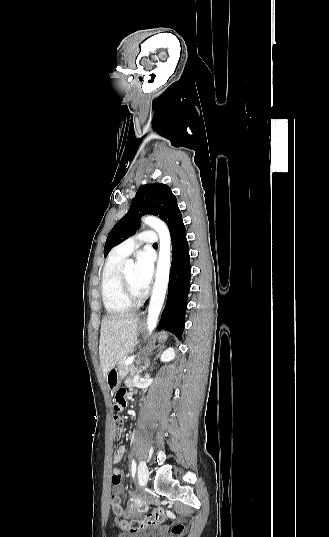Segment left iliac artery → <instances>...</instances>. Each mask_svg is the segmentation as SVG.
<instances>
[{
    "instance_id": "44dca946",
    "label": "left iliac artery",
    "mask_w": 329,
    "mask_h": 537,
    "mask_svg": "<svg viewBox=\"0 0 329 537\" xmlns=\"http://www.w3.org/2000/svg\"><path fill=\"white\" fill-rule=\"evenodd\" d=\"M131 471H132V477L134 478L135 472H136V463L134 459H132Z\"/></svg>"
}]
</instances>
